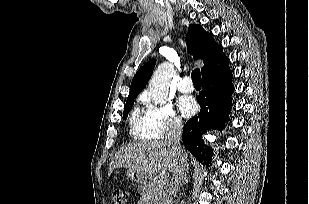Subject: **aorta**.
Returning a JSON list of instances; mask_svg holds the SVG:
<instances>
[{
  "instance_id": "1",
  "label": "aorta",
  "mask_w": 309,
  "mask_h": 204,
  "mask_svg": "<svg viewBox=\"0 0 309 204\" xmlns=\"http://www.w3.org/2000/svg\"><path fill=\"white\" fill-rule=\"evenodd\" d=\"M174 67L169 62L161 63L154 72L149 84V95L155 104H164L168 93Z\"/></svg>"
}]
</instances>
